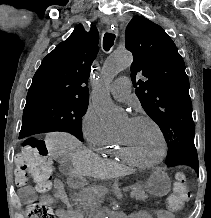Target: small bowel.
<instances>
[{
  "label": "small bowel",
  "instance_id": "small-bowel-1",
  "mask_svg": "<svg viewBox=\"0 0 211 218\" xmlns=\"http://www.w3.org/2000/svg\"><path fill=\"white\" fill-rule=\"evenodd\" d=\"M20 194L27 200H33L35 198V192L31 187H24L21 189ZM43 202L51 204L54 200H59L65 204L68 203L65 187L60 179H55L52 184V194L42 197ZM58 218H80V213L71 208H59L56 211ZM138 218H175L172 211L167 209H160L154 211L152 214L147 212L137 213Z\"/></svg>",
  "mask_w": 211,
  "mask_h": 218
}]
</instances>
